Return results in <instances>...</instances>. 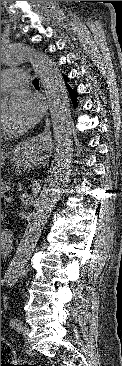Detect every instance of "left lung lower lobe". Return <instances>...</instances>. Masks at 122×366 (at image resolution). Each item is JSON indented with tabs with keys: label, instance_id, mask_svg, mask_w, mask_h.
I'll return each mask as SVG.
<instances>
[{
	"label": "left lung lower lobe",
	"instance_id": "obj_1",
	"mask_svg": "<svg viewBox=\"0 0 122 366\" xmlns=\"http://www.w3.org/2000/svg\"><path fill=\"white\" fill-rule=\"evenodd\" d=\"M63 77H64V80H65V82L67 81L66 80V77L63 75ZM68 91H69V93H70V96H71V99H72V103L74 104V106H75V103H76V95H77V92H75V91H73L71 88H69L68 87Z\"/></svg>",
	"mask_w": 122,
	"mask_h": 366
}]
</instances>
